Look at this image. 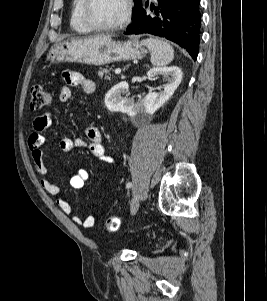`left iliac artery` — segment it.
<instances>
[{
	"label": "left iliac artery",
	"mask_w": 267,
	"mask_h": 301,
	"mask_svg": "<svg viewBox=\"0 0 267 301\" xmlns=\"http://www.w3.org/2000/svg\"><path fill=\"white\" fill-rule=\"evenodd\" d=\"M131 187H132V183H131V182H127V183H126V188L129 189V188H131Z\"/></svg>",
	"instance_id": "left-iliac-artery-1"
}]
</instances>
